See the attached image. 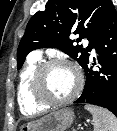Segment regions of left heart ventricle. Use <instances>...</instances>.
I'll use <instances>...</instances> for the list:
<instances>
[{"label":"left heart ventricle","instance_id":"left-heart-ventricle-1","mask_svg":"<svg viewBox=\"0 0 117 131\" xmlns=\"http://www.w3.org/2000/svg\"><path fill=\"white\" fill-rule=\"evenodd\" d=\"M76 84V75L70 68L55 66L45 73L43 89L49 98L60 100L68 97L74 91Z\"/></svg>","mask_w":117,"mask_h":131}]
</instances>
